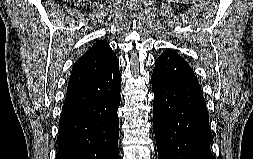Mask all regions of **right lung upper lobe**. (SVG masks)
Instances as JSON below:
<instances>
[{
  "mask_svg": "<svg viewBox=\"0 0 253 159\" xmlns=\"http://www.w3.org/2000/svg\"><path fill=\"white\" fill-rule=\"evenodd\" d=\"M117 58L106 41H97L74 64L67 89H71L109 70Z\"/></svg>",
  "mask_w": 253,
  "mask_h": 159,
  "instance_id": "obj_1",
  "label": "right lung upper lobe"
}]
</instances>
